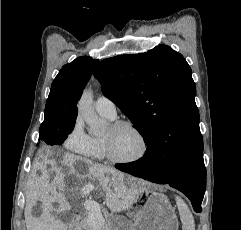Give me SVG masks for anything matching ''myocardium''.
<instances>
[{
  "instance_id": "myocardium-1",
  "label": "myocardium",
  "mask_w": 241,
  "mask_h": 230,
  "mask_svg": "<svg viewBox=\"0 0 241 230\" xmlns=\"http://www.w3.org/2000/svg\"><path fill=\"white\" fill-rule=\"evenodd\" d=\"M121 127H128L137 134V136L139 137V139L141 140V143H142L141 152L134 158H130V159L117 158L112 151V147H111V143H110L109 139L106 137H103L104 150H105L106 157L108 158L109 161H111L115 164H120V165L133 164V163H137V162L141 161L142 159L145 158V156L147 155L148 150H149V145H148L146 136L144 135V133L141 131V129L139 127H137L133 122L128 121V120H117V121L112 122L110 125L111 130H117Z\"/></svg>"
}]
</instances>
